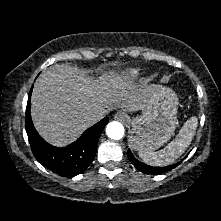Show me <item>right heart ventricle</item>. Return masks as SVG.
Instances as JSON below:
<instances>
[{"instance_id":"e07e8e85","label":"right heart ventricle","mask_w":221,"mask_h":221,"mask_svg":"<svg viewBox=\"0 0 221 221\" xmlns=\"http://www.w3.org/2000/svg\"><path fill=\"white\" fill-rule=\"evenodd\" d=\"M139 74V71L136 69H131L126 72L128 77H136Z\"/></svg>"}]
</instances>
